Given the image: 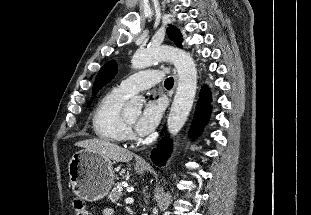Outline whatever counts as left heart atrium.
Here are the masks:
<instances>
[{"label":"left heart atrium","mask_w":311,"mask_h":215,"mask_svg":"<svg viewBox=\"0 0 311 215\" xmlns=\"http://www.w3.org/2000/svg\"><path fill=\"white\" fill-rule=\"evenodd\" d=\"M164 110V103L160 99L148 101L135 122V128L139 135L145 136L151 133L158 125Z\"/></svg>","instance_id":"left-heart-atrium-1"}]
</instances>
